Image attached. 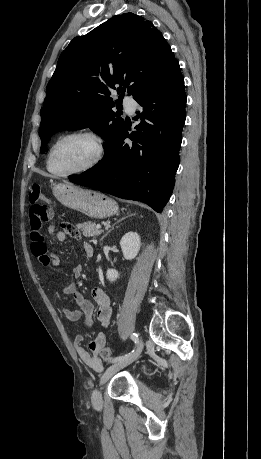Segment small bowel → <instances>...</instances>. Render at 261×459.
Here are the masks:
<instances>
[{
    "label": "small bowel",
    "instance_id": "1",
    "mask_svg": "<svg viewBox=\"0 0 261 459\" xmlns=\"http://www.w3.org/2000/svg\"><path fill=\"white\" fill-rule=\"evenodd\" d=\"M31 218V217H30ZM49 234L57 241L64 242L66 240V231H56L53 224L48 227ZM70 235V234H69ZM71 236V235H70ZM72 237V236H71ZM74 238V237H73ZM79 238V236L77 237ZM31 251L38 261L48 270H54L59 265V260L56 255L47 250L45 238L42 235L38 237L36 234H30ZM83 252L87 258L93 256V248L90 244H83ZM83 267L76 265L73 267V275L79 277L82 274ZM62 292L74 299L76 304L75 309L63 308L62 312L65 318L71 322L83 320L85 327H90L92 324L93 314L96 313L98 321L105 328L109 327L112 308L108 295L100 288L91 290L92 300L88 299L77 287L75 283H66L62 286ZM84 335L77 334L73 344L77 355L83 363L94 370L102 369V362L98 356V352L107 342V336L104 332H99L89 343V349L84 347Z\"/></svg>",
    "mask_w": 261,
    "mask_h": 459
}]
</instances>
